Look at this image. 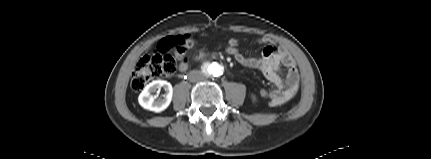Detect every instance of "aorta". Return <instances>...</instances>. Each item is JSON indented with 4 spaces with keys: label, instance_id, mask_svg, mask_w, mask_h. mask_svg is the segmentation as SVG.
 <instances>
[{
    "label": "aorta",
    "instance_id": "obj_1",
    "mask_svg": "<svg viewBox=\"0 0 431 159\" xmlns=\"http://www.w3.org/2000/svg\"><path fill=\"white\" fill-rule=\"evenodd\" d=\"M202 72L205 77L215 78L223 74V67L216 62H207L203 65Z\"/></svg>",
    "mask_w": 431,
    "mask_h": 159
}]
</instances>
